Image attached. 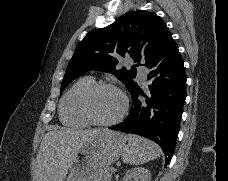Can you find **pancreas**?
I'll return each instance as SVG.
<instances>
[{
    "mask_svg": "<svg viewBox=\"0 0 228 181\" xmlns=\"http://www.w3.org/2000/svg\"><path fill=\"white\" fill-rule=\"evenodd\" d=\"M103 173L107 175V177H105V181H111V167H108V169H104Z\"/></svg>",
    "mask_w": 228,
    "mask_h": 181,
    "instance_id": "cf45deb5",
    "label": "pancreas"
}]
</instances>
